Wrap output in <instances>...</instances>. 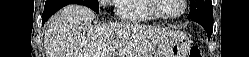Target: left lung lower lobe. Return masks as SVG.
<instances>
[{"instance_id":"left-lung-lower-lobe-1","label":"left lung lower lobe","mask_w":249,"mask_h":57,"mask_svg":"<svg viewBox=\"0 0 249 57\" xmlns=\"http://www.w3.org/2000/svg\"><path fill=\"white\" fill-rule=\"evenodd\" d=\"M191 20L196 21L197 23L203 26V28L207 32L208 39L211 37L213 31V18L198 17V18H192Z\"/></svg>"}]
</instances>
